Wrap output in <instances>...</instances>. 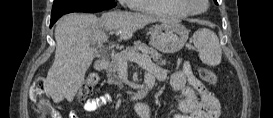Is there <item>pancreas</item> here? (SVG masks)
Listing matches in <instances>:
<instances>
[{
  "instance_id": "cf45deb5",
  "label": "pancreas",
  "mask_w": 273,
  "mask_h": 118,
  "mask_svg": "<svg viewBox=\"0 0 273 118\" xmlns=\"http://www.w3.org/2000/svg\"><path fill=\"white\" fill-rule=\"evenodd\" d=\"M139 53L142 52L144 56H147L148 59H152L154 62L165 65L166 60H162V55L158 53L155 49L152 47L147 46L144 43L135 42L134 46L128 47L122 52L118 53V55H114L111 57V61L109 63V67L107 69V82L109 84H115L119 87V89L123 88L121 79H120V68L124 65V63H127V61L124 60V57L127 53ZM131 86V84H129Z\"/></svg>"
}]
</instances>
